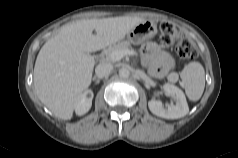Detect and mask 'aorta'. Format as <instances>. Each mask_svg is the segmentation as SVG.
<instances>
[{"mask_svg": "<svg viewBox=\"0 0 238 158\" xmlns=\"http://www.w3.org/2000/svg\"><path fill=\"white\" fill-rule=\"evenodd\" d=\"M119 75H120V77H122V78H127V77H129V75H130V71H129L127 68H121V69L119 70Z\"/></svg>", "mask_w": 238, "mask_h": 158, "instance_id": "1", "label": "aorta"}]
</instances>
